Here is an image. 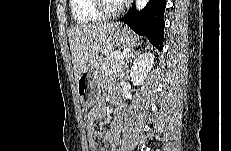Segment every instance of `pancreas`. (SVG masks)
Returning <instances> with one entry per match:
<instances>
[{"mask_svg": "<svg viewBox=\"0 0 231 151\" xmlns=\"http://www.w3.org/2000/svg\"><path fill=\"white\" fill-rule=\"evenodd\" d=\"M124 67V58L115 59L113 55H110L103 60L102 66L99 69V76L102 79L108 75L117 74L121 72Z\"/></svg>", "mask_w": 231, "mask_h": 151, "instance_id": "obj_1", "label": "pancreas"}]
</instances>
